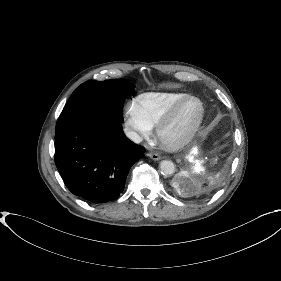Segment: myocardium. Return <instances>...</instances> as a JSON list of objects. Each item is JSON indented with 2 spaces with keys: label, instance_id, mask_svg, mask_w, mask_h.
<instances>
[{
  "label": "myocardium",
  "instance_id": "1",
  "mask_svg": "<svg viewBox=\"0 0 281 281\" xmlns=\"http://www.w3.org/2000/svg\"><path fill=\"white\" fill-rule=\"evenodd\" d=\"M194 102L198 106V114L193 124L180 136L170 138L168 130L177 119L183 107L189 103ZM205 113V107L202 100L196 96L188 95L176 103L164 116V118L157 125L156 136L159 144L168 151H177L186 146L195 136L200 128Z\"/></svg>",
  "mask_w": 281,
  "mask_h": 281
}]
</instances>
